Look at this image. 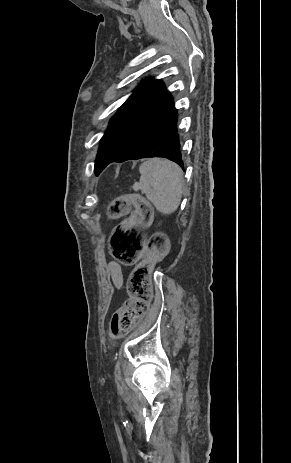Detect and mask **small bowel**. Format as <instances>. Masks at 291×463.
Segmentation results:
<instances>
[{"label": "small bowel", "mask_w": 291, "mask_h": 463, "mask_svg": "<svg viewBox=\"0 0 291 463\" xmlns=\"http://www.w3.org/2000/svg\"><path fill=\"white\" fill-rule=\"evenodd\" d=\"M107 272L115 288L120 289L123 286V273L121 266L116 262H110L107 266Z\"/></svg>", "instance_id": "1"}]
</instances>
